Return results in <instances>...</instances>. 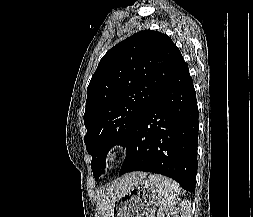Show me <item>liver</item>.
I'll return each instance as SVG.
<instances>
[{"mask_svg":"<svg viewBox=\"0 0 253 217\" xmlns=\"http://www.w3.org/2000/svg\"><path fill=\"white\" fill-rule=\"evenodd\" d=\"M145 176L146 173L132 172L118 178L105 188H101L97 194V208L100 217H109L114 201Z\"/></svg>","mask_w":253,"mask_h":217,"instance_id":"6515ba94","label":"liver"}]
</instances>
